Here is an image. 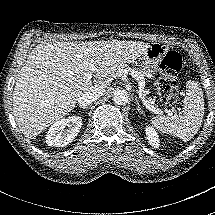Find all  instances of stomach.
Segmentation results:
<instances>
[{
	"mask_svg": "<svg viewBox=\"0 0 215 215\" xmlns=\"http://www.w3.org/2000/svg\"><path fill=\"white\" fill-rule=\"evenodd\" d=\"M169 51L170 48L167 44L153 42L142 53L139 63L150 69L151 77H155L160 71L161 61Z\"/></svg>",
	"mask_w": 215,
	"mask_h": 215,
	"instance_id": "obj_1",
	"label": "stomach"
}]
</instances>
